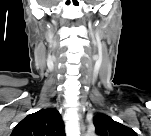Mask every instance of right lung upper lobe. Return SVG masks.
<instances>
[{"label": "right lung upper lobe", "mask_w": 151, "mask_h": 136, "mask_svg": "<svg viewBox=\"0 0 151 136\" xmlns=\"http://www.w3.org/2000/svg\"><path fill=\"white\" fill-rule=\"evenodd\" d=\"M64 123L56 109H41L27 115L14 128L13 136H63Z\"/></svg>", "instance_id": "cb5924a9"}]
</instances>
